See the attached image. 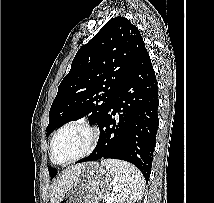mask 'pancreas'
I'll use <instances>...</instances> for the list:
<instances>
[{"instance_id":"pancreas-1","label":"pancreas","mask_w":214,"mask_h":203,"mask_svg":"<svg viewBox=\"0 0 214 203\" xmlns=\"http://www.w3.org/2000/svg\"><path fill=\"white\" fill-rule=\"evenodd\" d=\"M105 203H115L114 200H105Z\"/></svg>"}]
</instances>
